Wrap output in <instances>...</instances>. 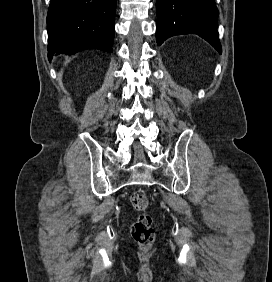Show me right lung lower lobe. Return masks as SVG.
I'll return each mask as SVG.
<instances>
[{
    "instance_id": "right-lung-lower-lobe-1",
    "label": "right lung lower lobe",
    "mask_w": 272,
    "mask_h": 282,
    "mask_svg": "<svg viewBox=\"0 0 272 282\" xmlns=\"http://www.w3.org/2000/svg\"><path fill=\"white\" fill-rule=\"evenodd\" d=\"M116 0H51L48 58L86 49L112 52Z\"/></svg>"
}]
</instances>
